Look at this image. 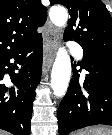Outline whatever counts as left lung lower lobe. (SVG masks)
<instances>
[{"label": "left lung lower lobe", "instance_id": "0a47b994", "mask_svg": "<svg viewBox=\"0 0 112 135\" xmlns=\"http://www.w3.org/2000/svg\"><path fill=\"white\" fill-rule=\"evenodd\" d=\"M77 65L88 74L82 82L74 67L57 113L59 135L91 125L112 126V55L84 50L83 61Z\"/></svg>", "mask_w": 112, "mask_h": 135}]
</instances>
